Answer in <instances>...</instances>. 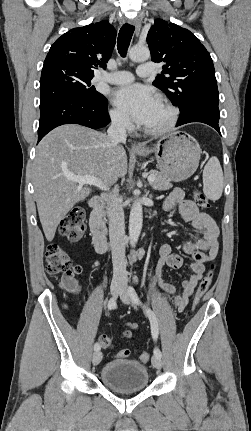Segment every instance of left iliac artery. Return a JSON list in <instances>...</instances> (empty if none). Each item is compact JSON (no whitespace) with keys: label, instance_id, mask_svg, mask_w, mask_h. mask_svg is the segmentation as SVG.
<instances>
[{"label":"left iliac artery","instance_id":"left-iliac-artery-1","mask_svg":"<svg viewBox=\"0 0 251 431\" xmlns=\"http://www.w3.org/2000/svg\"><path fill=\"white\" fill-rule=\"evenodd\" d=\"M129 294H130V297H131L133 303L136 305H141L142 308L144 309V311H145V313L148 316L149 321H150L152 337L156 341L158 338V322H157V318H156L155 313L149 307L142 304V302L140 301V299H139V297H138V295H137V293L133 287H129ZM154 355L161 358L162 354H161V351L158 347H155Z\"/></svg>","mask_w":251,"mask_h":431}]
</instances>
